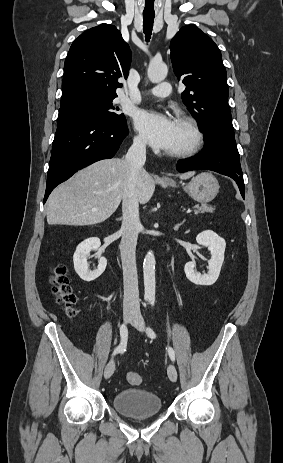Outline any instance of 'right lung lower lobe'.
<instances>
[{
    "mask_svg": "<svg viewBox=\"0 0 283 463\" xmlns=\"http://www.w3.org/2000/svg\"><path fill=\"white\" fill-rule=\"evenodd\" d=\"M129 130L126 120L106 122L80 119L57 127L44 197L76 171L98 160L112 158Z\"/></svg>",
    "mask_w": 283,
    "mask_h": 463,
    "instance_id": "1",
    "label": "right lung lower lobe"
}]
</instances>
